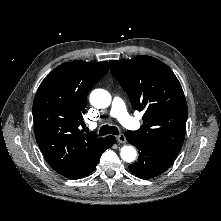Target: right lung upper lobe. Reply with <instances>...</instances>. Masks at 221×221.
I'll return each instance as SVG.
<instances>
[{"label": "right lung upper lobe", "mask_w": 221, "mask_h": 221, "mask_svg": "<svg viewBox=\"0 0 221 221\" xmlns=\"http://www.w3.org/2000/svg\"><path fill=\"white\" fill-rule=\"evenodd\" d=\"M108 72L107 62H66L40 84L33 103L36 141L49 165L71 177L98 151L103 138L83 133L90 89Z\"/></svg>", "instance_id": "obj_1"}]
</instances>
